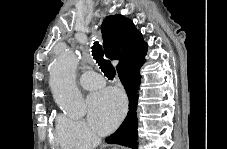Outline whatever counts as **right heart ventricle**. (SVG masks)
<instances>
[{
	"label": "right heart ventricle",
	"instance_id": "obj_1",
	"mask_svg": "<svg viewBox=\"0 0 227 149\" xmlns=\"http://www.w3.org/2000/svg\"><path fill=\"white\" fill-rule=\"evenodd\" d=\"M54 136L58 144L63 146H68L62 139L61 130L58 123V118L55 120V126H54Z\"/></svg>",
	"mask_w": 227,
	"mask_h": 149
}]
</instances>
